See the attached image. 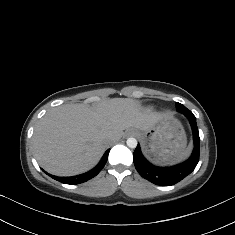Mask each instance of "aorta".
<instances>
[{
	"mask_svg": "<svg viewBox=\"0 0 235 235\" xmlns=\"http://www.w3.org/2000/svg\"><path fill=\"white\" fill-rule=\"evenodd\" d=\"M126 143L130 148H135L137 146V140L135 138H128Z\"/></svg>",
	"mask_w": 235,
	"mask_h": 235,
	"instance_id": "aorta-1",
	"label": "aorta"
}]
</instances>
